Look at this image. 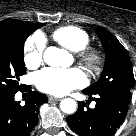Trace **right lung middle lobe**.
I'll use <instances>...</instances> for the list:
<instances>
[{
  "label": "right lung middle lobe",
  "mask_w": 136,
  "mask_h": 136,
  "mask_svg": "<svg viewBox=\"0 0 136 136\" xmlns=\"http://www.w3.org/2000/svg\"><path fill=\"white\" fill-rule=\"evenodd\" d=\"M17 26L0 31V94L20 90L19 77L26 73L24 64V42L36 29L42 27Z\"/></svg>",
  "instance_id": "dd1d6c3e"
}]
</instances>
